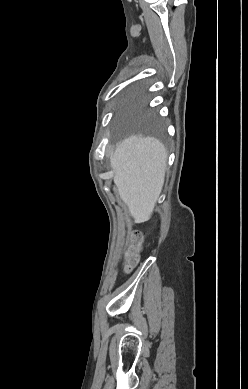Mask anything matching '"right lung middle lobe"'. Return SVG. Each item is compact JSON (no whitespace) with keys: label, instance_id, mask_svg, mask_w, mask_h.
Wrapping results in <instances>:
<instances>
[{"label":"right lung middle lobe","instance_id":"1","mask_svg":"<svg viewBox=\"0 0 248 389\" xmlns=\"http://www.w3.org/2000/svg\"><path fill=\"white\" fill-rule=\"evenodd\" d=\"M132 111L134 129L145 134L161 135L160 127L152 114L146 112L141 106L134 107Z\"/></svg>","mask_w":248,"mask_h":389}]
</instances>
